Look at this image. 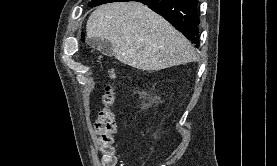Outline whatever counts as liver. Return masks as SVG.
<instances>
[{"mask_svg": "<svg viewBox=\"0 0 277 166\" xmlns=\"http://www.w3.org/2000/svg\"><path fill=\"white\" fill-rule=\"evenodd\" d=\"M86 32L88 39L111 42L115 58L137 69L158 71L197 60L189 40L141 3L99 6L91 13Z\"/></svg>", "mask_w": 277, "mask_h": 166, "instance_id": "obj_1", "label": "liver"}]
</instances>
